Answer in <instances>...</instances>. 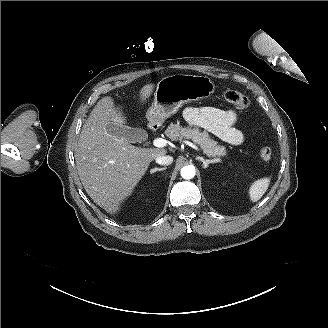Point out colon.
Here are the masks:
<instances>
[{
  "label": "colon",
  "instance_id": "colon-1",
  "mask_svg": "<svg viewBox=\"0 0 328 328\" xmlns=\"http://www.w3.org/2000/svg\"><path fill=\"white\" fill-rule=\"evenodd\" d=\"M224 98L237 109L244 110L249 106V99L235 90H227L224 94ZM259 156L263 161H269L272 157V149L269 146H262L259 150Z\"/></svg>",
  "mask_w": 328,
  "mask_h": 328
}]
</instances>
